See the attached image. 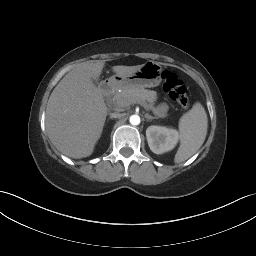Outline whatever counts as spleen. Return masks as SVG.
Instances as JSON below:
<instances>
[{"mask_svg": "<svg viewBox=\"0 0 256 256\" xmlns=\"http://www.w3.org/2000/svg\"><path fill=\"white\" fill-rule=\"evenodd\" d=\"M208 119L204 107L195 103L179 121L180 147L175 155V163H181L202 146L207 135Z\"/></svg>", "mask_w": 256, "mask_h": 256, "instance_id": "obj_1", "label": "spleen"}]
</instances>
